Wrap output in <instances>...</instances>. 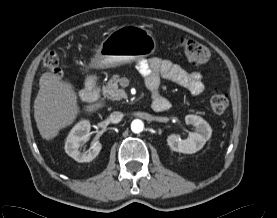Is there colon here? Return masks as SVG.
I'll list each match as a JSON object with an SVG mask.
<instances>
[{
  "mask_svg": "<svg viewBox=\"0 0 277 218\" xmlns=\"http://www.w3.org/2000/svg\"><path fill=\"white\" fill-rule=\"evenodd\" d=\"M180 47L187 61L192 65H201L208 61L209 50L203 44L184 38ZM44 67L57 77L62 76L59 56L56 52H48L43 59ZM210 109L215 114L223 113L228 107V95L223 89H216L209 101Z\"/></svg>",
  "mask_w": 277,
  "mask_h": 218,
  "instance_id": "1",
  "label": "colon"
}]
</instances>
